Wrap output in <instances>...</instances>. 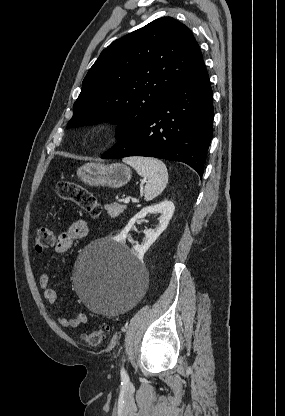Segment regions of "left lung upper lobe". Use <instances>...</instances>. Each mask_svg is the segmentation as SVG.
<instances>
[{
  "label": "left lung upper lobe",
  "mask_w": 285,
  "mask_h": 416,
  "mask_svg": "<svg viewBox=\"0 0 285 416\" xmlns=\"http://www.w3.org/2000/svg\"><path fill=\"white\" fill-rule=\"evenodd\" d=\"M203 61L190 29L162 17L114 41L88 71L67 128L110 122L117 139L139 125Z\"/></svg>",
  "instance_id": "5c2ea615"
}]
</instances>
